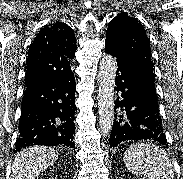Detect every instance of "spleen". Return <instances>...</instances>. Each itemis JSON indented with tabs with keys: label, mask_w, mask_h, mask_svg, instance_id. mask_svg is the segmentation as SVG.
<instances>
[{
	"label": "spleen",
	"mask_w": 183,
	"mask_h": 179,
	"mask_svg": "<svg viewBox=\"0 0 183 179\" xmlns=\"http://www.w3.org/2000/svg\"><path fill=\"white\" fill-rule=\"evenodd\" d=\"M123 162L128 170L149 179H173V165L168 154L150 143H136L124 153Z\"/></svg>",
	"instance_id": "1"
}]
</instances>
